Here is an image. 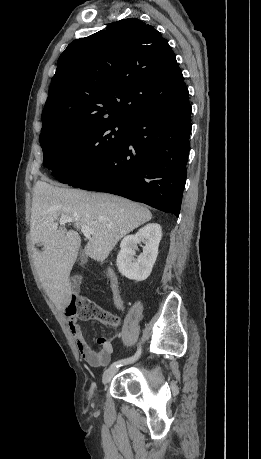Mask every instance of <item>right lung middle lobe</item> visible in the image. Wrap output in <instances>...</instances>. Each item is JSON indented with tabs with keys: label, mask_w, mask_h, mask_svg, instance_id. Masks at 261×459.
<instances>
[{
	"label": "right lung middle lobe",
	"mask_w": 261,
	"mask_h": 459,
	"mask_svg": "<svg viewBox=\"0 0 261 459\" xmlns=\"http://www.w3.org/2000/svg\"><path fill=\"white\" fill-rule=\"evenodd\" d=\"M131 121L108 120L90 127L56 128L41 133L43 165L70 184L115 154L126 141Z\"/></svg>",
	"instance_id": "obj_1"
}]
</instances>
